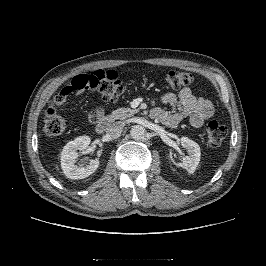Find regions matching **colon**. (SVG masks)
I'll return each instance as SVG.
<instances>
[{"label":"colon","instance_id":"obj_1","mask_svg":"<svg viewBox=\"0 0 266 266\" xmlns=\"http://www.w3.org/2000/svg\"><path fill=\"white\" fill-rule=\"evenodd\" d=\"M165 81L170 89L179 90L192 85L196 78L189 72L170 70L165 74ZM126 85V82L113 70H98L75 76L55 97L54 104L47 107L44 116L45 133L50 137H57L65 131L66 120L57 112L56 106L64 104L66 98L74 91L95 89L103 101L114 103L120 99ZM96 114L100 116L101 110ZM204 135L208 146L218 147L224 141L227 130L217 121H211Z\"/></svg>","mask_w":266,"mask_h":266}]
</instances>
